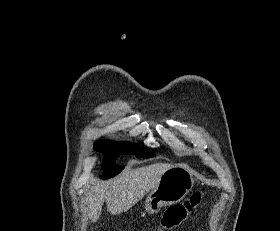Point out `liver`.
Wrapping results in <instances>:
<instances>
[{"label": "liver", "mask_w": 280, "mask_h": 231, "mask_svg": "<svg viewBox=\"0 0 280 231\" xmlns=\"http://www.w3.org/2000/svg\"><path fill=\"white\" fill-rule=\"evenodd\" d=\"M170 163H151L144 167L128 169L106 185H91L84 203L91 221H97L106 199L110 213H121L135 205L150 189L156 187L161 175L170 169Z\"/></svg>", "instance_id": "liver-1"}]
</instances>
